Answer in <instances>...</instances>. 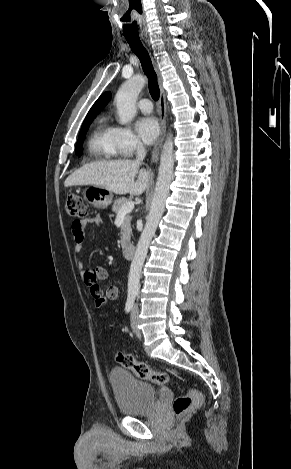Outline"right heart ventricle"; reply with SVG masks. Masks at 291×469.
<instances>
[{
	"mask_svg": "<svg viewBox=\"0 0 291 469\" xmlns=\"http://www.w3.org/2000/svg\"><path fill=\"white\" fill-rule=\"evenodd\" d=\"M88 151L97 159H111L118 154L112 143L111 127L103 116L95 122L88 141Z\"/></svg>",
	"mask_w": 291,
	"mask_h": 469,
	"instance_id": "obj_1",
	"label": "right heart ventricle"
}]
</instances>
